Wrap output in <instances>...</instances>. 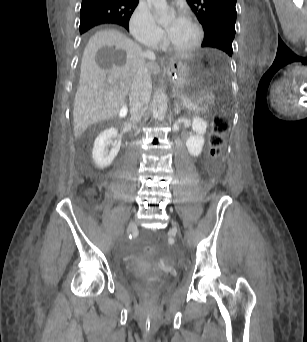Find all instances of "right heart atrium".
Returning <instances> with one entry per match:
<instances>
[{"mask_svg":"<svg viewBox=\"0 0 307 342\" xmlns=\"http://www.w3.org/2000/svg\"><path fill=\"white\" fill-rule=\"evenodd\" d=\"M131 36L139 43L151 47L159 45L161 32L156 28L150 13L137 9L129 20Z\"/></svg>","mask_w":307,"mask_h":342,"instance_id":"d8ad5b80","label":"right heart atrium"}]
</instances>
